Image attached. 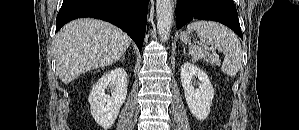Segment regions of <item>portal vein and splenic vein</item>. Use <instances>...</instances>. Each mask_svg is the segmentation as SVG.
<instances>
[{"mask_svg": "<svg viewBox=\"0 0 299 130\" xmlns=\"http://www.w3.org/2000/svg\"><path fill=\"white\" fill-rule=\"evenodd\" d=\"M210 50H211L212 52H214V51H215V49H214V48H210Z\"/></svg>", "mask_w": 299, "mask_h": 130, "instance_id": "portal-vein-and-splenic-vein-1", "label": "portal vein and splenic vein"}]
</instances>
